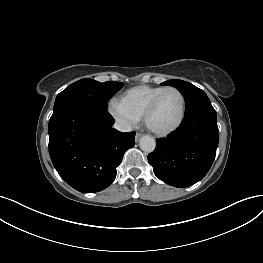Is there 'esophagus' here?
I'll use <instances>...</instances> for the list:
<instances>
[{"mask_svg":"<svg viewBox=\"0 0 263 263\" xmlns=\"http://www.w3.org/2000/svg\"><path fill=\"white\" fill-rule=\"evenodd\" d=\"M142 134L141 133H136L135 135V141L137 142L141 138Z\"/></svg>","mask_w":263,"mask_h":263,"instance_id":"34e87169","label":"esophagus"}]
</instances>
